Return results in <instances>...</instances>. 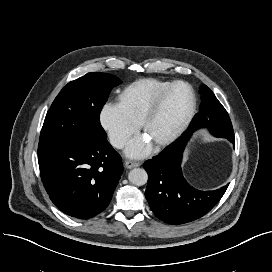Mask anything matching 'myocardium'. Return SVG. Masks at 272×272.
Instances as JSON below:
<instances>
[{
	"label": "myocardium",
	"mask_w": 272,
	"mask_h": 272,
	"mask_svg": "<svg viewBox=\"0 0 272 272\" xmlns=\"http://www.w3.org/2000/svg\"><path fill=\"white\" fill-rule=\"evenodd\" d=\"M178 86L185 87L190 95V106L186 116L184 117L183 121L180 125L166 138L162 139L161 141L154 144L155 149L160 150L165 148L166 146L173 143L178 137H180L183 132L188 128L190 125L195 112H196V96L194 93L193 88L186 82L183 81H176L171 83L166 89H164L155 99L154 101L148 106L146 111L144 112L141 121L139 123V130L141 132L144 131L149 121L153 118V116L158 112L166 98L169 94Z\"/></svg>",
	"instance_id": "myocardium-1"
}]
</instances>
